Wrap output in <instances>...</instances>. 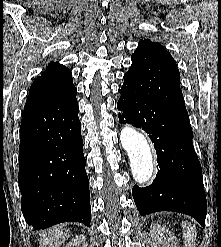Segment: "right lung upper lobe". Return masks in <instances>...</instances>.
Returning a JSON list of instances; mask_svg holds the SVG:
<instances>
[{
  "instance_id": "cb5924a9",
  "label": "right lung upper lobe",
  "mask_w": 221,
  "mask_h": 247,
  "mask_svg": "<svg viewBox=\"0 0 221 247\" xmlns=\"http://www.w3.org/2000/svg\"><path fill=\"white\" fill-rule=\"evenodd\" d=\"M75 89L70 70L51 62L31 85L25 108L64 96Z\"/></svg>"
}]
</instances>
